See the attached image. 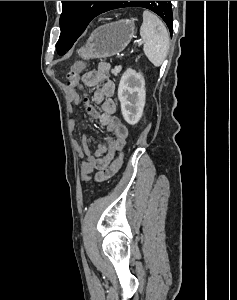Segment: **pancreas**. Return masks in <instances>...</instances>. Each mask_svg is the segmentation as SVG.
<instances>
[{"label": "pancreas", "mask_w": 237, "mask_h": 300, "mask_svg": "<svg viewBox=\"0 0 237 300\" xmlns=\"http://www.w3.org/2000/svg\"><path fill=\"white\" fill-rule=\"evenodd\" d=\"M119 71H121V67H115V69H112L111 73H113V75H117Z\"/></svg>", "instance_id": "pancreas-1"}]
</instances>
